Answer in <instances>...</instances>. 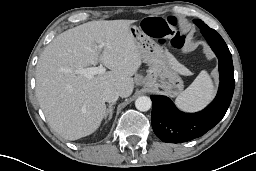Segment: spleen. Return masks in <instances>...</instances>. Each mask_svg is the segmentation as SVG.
Segmentation results:
<instances>
[{"label":"spleen","mask_w":256,"mask_h":171,"mask_svg":"<svg viewBox=\"0 0 256 171\" xmlns=\"http://www.w3.org/2000/svg\"><path fill=\"white\" fill-rule=\"evenodd\" d=\"M214 95V85L209 74L203 70L192 84L181 92L176 105L186 111H195L206 105Z\"/></svg>","instance_id":"obj_1"}]
</instances>
